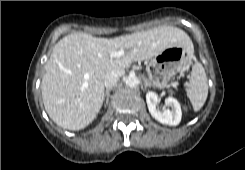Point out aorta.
Wrapping results in <instances>:
<instances>
[{"label": "aorta", "mask_w": 245, "mask_h": 170, "mask_svg": "<svg viewBox=\"0 0 245 170\" xmlns=\"http://www.w3.org/2000/svg\"><path fill=\"white\" fill-rule=\"evenodd\" d=\"M139 80L136 75L132 74L126 77L125 84L130 88H134L138 85Z\"/></svg>", "instance_id": "762f6f07"}]
</instances>
